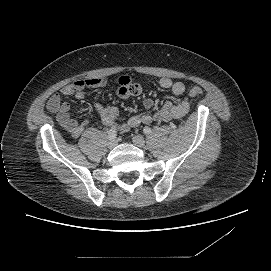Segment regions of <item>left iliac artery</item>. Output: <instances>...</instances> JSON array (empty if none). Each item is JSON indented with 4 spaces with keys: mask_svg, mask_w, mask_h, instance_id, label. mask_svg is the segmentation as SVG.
<instances>
[{
    "mask_svg": "<svg viewBox=\"0 0 271 271\" xmlns=\"http://www.w3.org/2000/svg\"><path fill=\"white\" fill-rule=\"evenodd\" d=\"M143 132H144L146 135H148V134L151 133V128L148 127V126H146V127H144Z\"/></svg>",
    "mask_w": 271,
    "mask_h": 271,
    "instance_id": "left-iliac-artery-1",
    "label": "left iliac artery"
}]
</instances>
